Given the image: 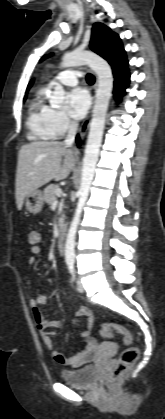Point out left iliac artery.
I'll use <instances>...</instances> for the list:
<instances>
[{"instance_id": "obj_1", "label": "left iliac artery", "mask_w": 165, "mask_h": 419, "mask_svg": "<svg viewBox=\"0 0 165 419\" xmlns=\"http://www.w3.org/2000/svg\"><path fill=\"white\" fill-rule=\"evenodd\" d=\"M69 270H70V272L73 274V276H74V268H73V266L71 265V266H69Z\"/></svg>"}]
</instances>
